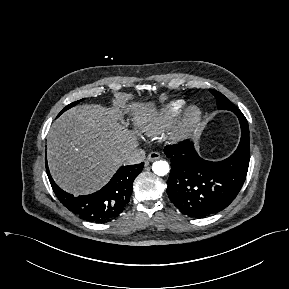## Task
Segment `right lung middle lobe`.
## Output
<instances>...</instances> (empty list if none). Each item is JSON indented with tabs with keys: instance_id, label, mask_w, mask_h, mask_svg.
I'll return each instance as SVG.
<instances>
[{
	"instance_id": "obj_1",
	"label": "right lung middle lobe",
	"mask_w": 289,
	"mask_h": 289,
	"mask_svg": "<svg viewBox=\"0 0 289 289\" xmlns=\"http://www.w3.org/2000/svg\"><path fill=\"white\" fill-rule=\"evenodd\" d=\"M80 101H82V100H79V101H76V102H73V103L67 105V106L59 113V115L62 114V113H63L64 111H66L67 109L73 107L74 105H76V104L79 103ZM59 115H58V116H59Z\"/></svg>"
}]
</instances>
